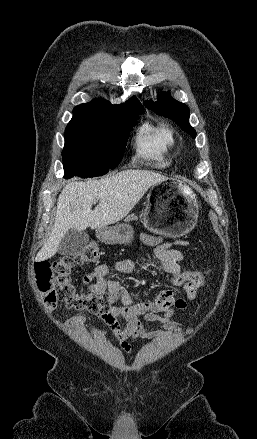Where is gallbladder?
<instances>
[{"instance_id": "gallbladder-1", "label": "gallbladder", "mask_w": 257, "mask_h": 439, "mask_svg": "<svg viewBox=\"0 0 257 439\" xmlns=\"http://www.w3.org/2000/svg\"><path fill=\"white\" fill-rule=\"evenodd\" d=\"M88 241L89 235L85 231L71 229L63 236L58 251L62 255L74 256L85 249Z\"/></svg>"}]
</instances>
